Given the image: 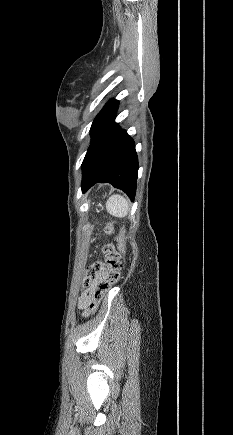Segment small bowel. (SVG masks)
I'll list each match as a JSON object with an SVG mask.
<instances>
[{
  "label": "small bowel",
  "mask_w": 233,
  "mask_h": 435,
  "mask_svg": "<svg viewBox=\"0 0 233 435\" xmlns=\"http://www.w3.org/2000/svg\"><path fill=\"white\" fill-rule=\"evenodd\" d=\"M110 275H111L110 272H103L101 274V278L107 279L110 277ZM94 290H95V285L83 290V292L79 298V305L82 309H87L89 307L91 301L93 300Z\"/></svg>",
  "instance_id": "c3829d8e"
}]
</instances>
